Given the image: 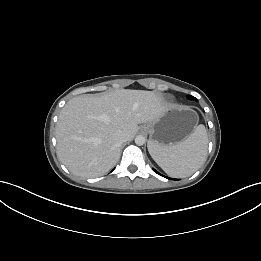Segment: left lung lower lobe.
Instances as JSON below:
<instances>
[{
	"mask_svg": "<svg viewBox=\"0 0 261 261\" xmlns=\"http://www.w3.org/2000/svg\"><path fill=\"white\" fill-rule=\"evenodd\" d=\"M157 174L161 175L159 172H157L156 170H154ZM167 178V177H166ZM169 179V178H168Z\"/></svg>",
	"mask_w": 261,
	"mask_h": 261,
	"instance_id": "left-lung-lower-lobe-1",
	"label": "left lung lower lobe"
}]
</instances>
